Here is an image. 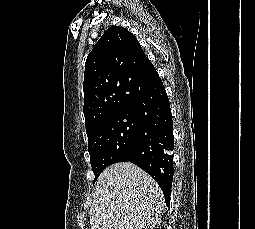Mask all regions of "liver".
Instances as JSON below:
<instances>
[{"label":"liver","mask_w":255,"mask_h":229,"mask_svg":"<svg viewBox=\"0 0 255 229\" xmlns=\"http://www.w3.org/2000/svg\"><path fill=\"white\" fill-rule=\"evenodd\" d=\"M92 196L91 229H147L157 223L164 207L158 184L131 162L106 168L97 179Z\"/></svg>","instance_id":"6515ba94"}]
</instances>
